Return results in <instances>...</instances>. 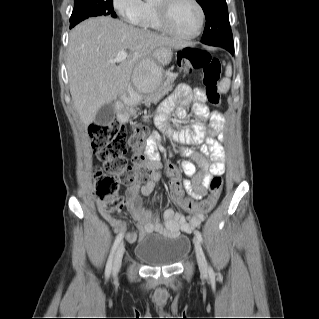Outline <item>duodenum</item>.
<instances>
[{
	"instance_id": "1",
	"label": "duodenum",
	"mask_w": 319,
	"mask_h": 319,
	"mask_svg": "<svg viewBox=\"0 0 319 319\" xmlns=\"http://www.w3.org/2000/svg\"><path fill=\"white\" fill-rule=\"evenodd\" d=\"M128 105L129 97L127 95L123 96V99L117 102L115 107V112L117 119L121 122H126L128 120Z\"/></svg>"
}]
</instances>
